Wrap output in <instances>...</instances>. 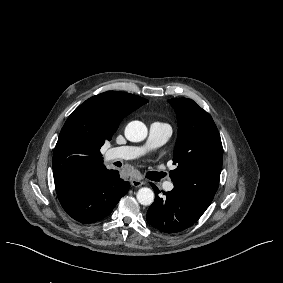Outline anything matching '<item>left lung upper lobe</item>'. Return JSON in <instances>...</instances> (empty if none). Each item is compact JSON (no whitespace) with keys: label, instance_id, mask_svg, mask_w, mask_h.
Segmentation results:
<instances>
[{"label":"left lung upper lobe","instance_id":"left-lung-upper-lobe-1","mask_svg":"<svg viewBox=\"0 0 283 283\" xmlns=\"http://www.w3.org/2000/svg\"><path fill=\"white\" fill-rule=\"evenodd\" d=\"M176 111L178 138L170 171L174 186L211 203L219 185L223 148L212 117L193 100L170 99Z\"/></svg>","mask_w":283,"mask_h":283}]
</instances>
